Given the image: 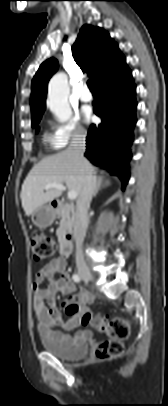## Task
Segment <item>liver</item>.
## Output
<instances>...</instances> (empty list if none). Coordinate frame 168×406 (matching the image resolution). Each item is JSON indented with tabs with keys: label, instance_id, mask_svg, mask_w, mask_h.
<instances>
[{
	"label": "liver",
	"instance_id": "6515ba94",
	"mask_svg": "<svg viewBox=\"0 0 168 406\" xmlns=\"http://www.w3.org/2000/svg\"><path fill=\"white\" fill-rule=\"evenodd\" d=\"M85 162L93 170L92 165ZM82 164L79 163L68 149L42 159L28 173L21 190L22 207L30 216L38 207L54 200L62 194V190L51 188L45 190L49 183H65L69 191L80 195L82 190Z\"/></svg>",
	"mask_w": 168,
	"mask_h": 406
}]
</instances>
